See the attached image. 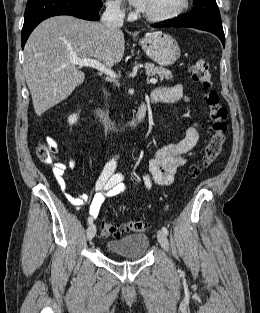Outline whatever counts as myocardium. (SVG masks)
Instances as JSON below:
<instances>
[{"label": "myocardium", "mask_w": 260, "mask_h": 313, "mask_svg": "<svg viewBox=\"0 0 260 313\" xmlns=\"http://www.w3.org/2000/svg\"><path fill=\"white\" fill-rule=\"evenodd\" d=\"M190 0H181L179 6L166 14L163 15H150L146 13H142V16L150 22H166L171 21L179 16H181L189 7Z\"/></svg>", "instance_id": "obj_1"}]
</instances>
